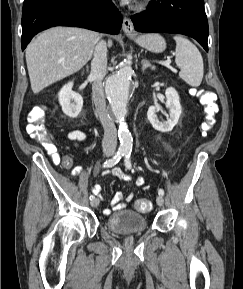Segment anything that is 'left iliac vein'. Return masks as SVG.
Returning <instances> with one entry per match:
<instances>
[{"label":"left iliac vein","mask_w":243,"mask_h":289,"mask_svg":"<svg viewBox=\"0 0 243 289\" xmlns=\"http://www.w3.org/2000/svg\"><path fill=\"white\" fill-rule=\"evenodd\" d=\"M156 202H157V204H158L159 206H163V204H164V199H163V197H162L161 195L157 196Z\"/></svg>","instance_id":"4c4485c4"}]
</instances>
